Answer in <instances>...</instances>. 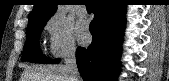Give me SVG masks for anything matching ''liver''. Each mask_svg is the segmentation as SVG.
<instances>
[{
	"label": "liver",
	"mask_w": 169,
	"mask_h": 81,
	"mask_svg": "<svg viewBox=\"0 0 169 81\" xmlns=\"http://www.w3.org/2000/svg\"><path fill=\"white\" fill-rule=\"evenodd\" d=\"M21 81H70L64 65L32 66L27 68Z\"/></svg>",
	"instance_id": "obj_1"
}]
</instances>
